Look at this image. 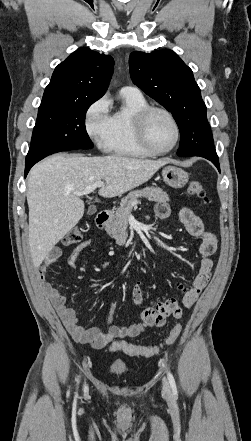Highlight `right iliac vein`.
<instances>
[{"instance_id":"63e3f726","label":"right iliac vein","mask_w":251,"mask_h":441,"mask_svg":"<svg viewBox=\"0 0 251 441\" xmlns=\"http://www.w3.org/2000/svg\"><path fill=\"white\" fill-rule=\"evenodd\" d=\"M84 390H87V386L86 385L84 386Z\"/></svg>"}]
</instances>
